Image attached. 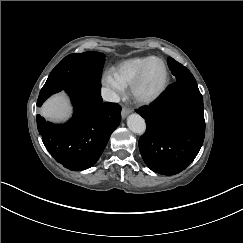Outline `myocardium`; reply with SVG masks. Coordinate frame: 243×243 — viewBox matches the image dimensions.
<instances>
[{"instance_id":"obj_1","label":"myocardium","mask_w":243,"mask_h":243,"mask_svg":"<svg viewBox=\"0 0 243 243\" xmlns=\"http://www.w3.org/2000/svg\"><path fill=\"white\" fill-rule=\"evenodd\" d=\"M153 62H160L163 65L165 72H166L165 82L162 85V87L158 91H156L154 94L149 95V96H143L140 94V89L148 75L149 69ZM170 83H171V72H170V69H169L167 63L160 58H156V59H153L150 62H148L143 67L139 76L136 78V80L130 87V93H131L133 100L138 105H150V104H153L156 101H158L167 92V90L170 86Z\"/></svg>"}]
</instances>
